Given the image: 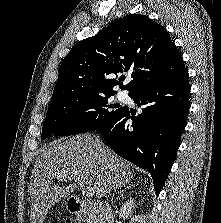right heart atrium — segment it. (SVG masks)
<instances>
[{
    "label": "right heart atrium",
    "mask_w": 221,
    "mask_h": 223,
    "mask_svg": "<svg viewBox=\"0 0 221 223\" xmlns=\"http://www.w3.org/2000/svg\"><path fill=\"white\" fill-rule=\"evenodd\" d=\"M89 111H90V110H89L88 108H85V109L82 110V112H83L84 115H85V114H88Z\"/></svg>",
    "instance_id": "d8ad5b80"
}]
</instances>
